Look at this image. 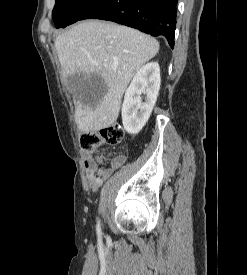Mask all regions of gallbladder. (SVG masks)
Returning <instances> with one entry per match:
<instances>
[{
    "mask_svg": "<svg viewBox=\"0 0 247 275\" xmlns=\"http://www.w3.org/2000/svg\"><path fill=\"white\" fill-rule=\"evenodd\" d=\"M69 89L75 93L84 103L92 98L96 92L104 94V81L99 74H87L77 72L69 75L66 79Z\"/></svg>",
    "mask_w": 247,
    "mask_h": 275,
    "instance_id": "1",
    "label": "gallbladder"
}]
</instances>
